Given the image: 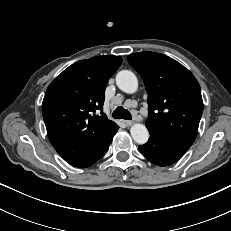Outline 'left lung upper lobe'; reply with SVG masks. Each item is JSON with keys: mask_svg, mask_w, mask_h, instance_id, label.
Segmentation results:
<instances>
[{"mask_svg": "<svg viewBox=\"0 0 231 231\" xmlns=\"http://www.w3.org/2000/svg\"><path fill=\"white\" fill-rule=\"evenodd\" d=\"M128 62L148 93L147 128L190 148L203 112L194 75L174 59L150 51L130 54Z\"/></svg>", "mask_w": 231, "mask_h": 231, "instance_id": "1", "label": "left lung upper lobe"}]
</instances>
